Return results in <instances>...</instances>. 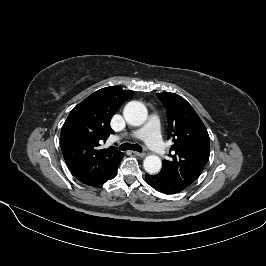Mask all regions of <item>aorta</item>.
Here are the masks:
<instances>
[{
    "mask_svg": "<svg viewBox=\"0 0 266 266\" xmlns=\"http://www.w3.org/2000/svg\"><path fill=\"white\" fill-rule=\"evenodd\" d=\"M148 116L145 105L139 101H130L124 108V117L126 121L133 126L142 125ZM144 169L149 174H156L161 170L162 162L157 155H149L144 159Z\"/></svg>",
    "mask_w": 266,
    "mask_h": 266,
    "instance_id": "762f6f07",
    "label": "aorta"
}]
</instances>
